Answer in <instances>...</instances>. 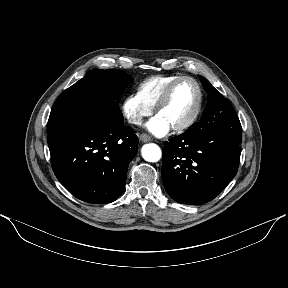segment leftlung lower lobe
I'll list each match as a JSON object with an SVG mask.
<instances>
[{"mask_svg": "<svg viewBox=\"0 0 288 288\" xmlns=\"http://www.w3.org/2000/svg\"><path fill=\"white\" fill-rule=\"evenodd\" d=\"M240 143L200 129L164 143L162 179L166 192L182 204H204L218 196L237 173Z\"/></svg>", "mask_w": 288, "mask_h": 288, "instance_id": "left-lung-lower-lobe-1", "label": "left lung lower lobe"}]
</instances>
